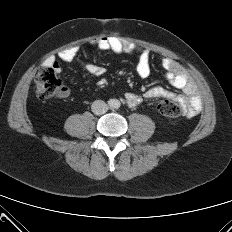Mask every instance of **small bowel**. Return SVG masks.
I'll use <instances>...</instances> for the list:
<instances>
[{
  "label": "small bowel",
  "mask_w": 232,
  "mask_h": 232,
  "mask_svg": "<svg viewBox=\"0 0 232 232\" xmlns=\"http://www.w3.org/2000/svg\"><path fill=\"white\" fill-rule=\"evenodd\" d=\"M90 45L103 52L111 53H139V59L136 66V73L140 78H148L151 75V53L147 48L139 47L129 41H125L119 37L103 36L93 39ZM61 62H71L78 59L85 70L94 76H102L106 69L98 64L87 62L81 59L76 48H67L58 54ZM57 72L62 71V66L54 58H50ZM160 66L164 71L166 80L174 87L181 89L184 95L176 94L160 86H155L148 89L144 94L128 93L125 95V102L129 107L139 105L143 99H172L177 101L183 108L186 116L194 117L199 114L202 106L201 97L197 86L187 70L177 61L164 56L161 58ZM69 95V89L62 86L58 98H65Z\"/></svg>",
  "instance_id": "1"
}]
</instances>
